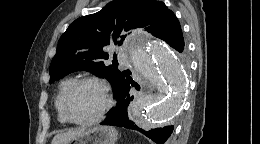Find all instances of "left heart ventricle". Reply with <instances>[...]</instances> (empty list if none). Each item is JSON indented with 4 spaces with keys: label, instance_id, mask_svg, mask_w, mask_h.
<instances>
[{
    "label": "left heart ventricle",
    "instance_id": "left-heart-ventricle-1",
    "mask_svg": "<svg viewBox=\"0 0 260 144\" xmlns=\"http://www.w3.org/2000/svg\"><path fill=\"white\" fill-rule=\"evenodd\" d=\"M103 96L94 84L80 85L72 94L68 109L73 118L86 120L95 117L103 106Z\"/></svg>",
    "mask_w": 260,
    "mask_h": 144
}]
</instances>
